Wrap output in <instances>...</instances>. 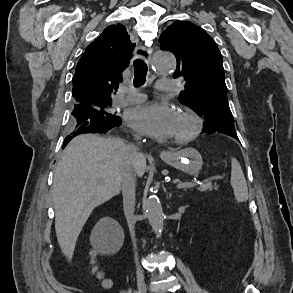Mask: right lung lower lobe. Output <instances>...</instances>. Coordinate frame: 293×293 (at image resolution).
Instances as JSON below:
<instances>
[{
	"label": "right lung lower lobe",
	"mask_w": 293,
	"mask_h": 293,
	"mask_svg": "<svg viewBox=\"0 0 293 293\" xmlns=\"http://www.w3.org/2000/svg\"><path fill=\"white\" fill-rule=\"evenodd\" d=\"M72 115L75 118V128L66 136L62 149L75 136L82 133H105L108 130L121 125L120 117L115 114H105L92 107L75 105Z\"/></svg>",
	"instance_id": "1"
}]
</instances>
